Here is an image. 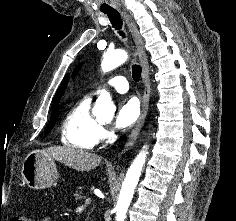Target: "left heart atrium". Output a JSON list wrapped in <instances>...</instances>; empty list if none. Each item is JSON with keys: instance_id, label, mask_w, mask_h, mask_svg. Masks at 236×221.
<instances>
[{"instance_id": "39dd6f15", "label": "left heart atrium", "mask_w": 236, "mask_h": 221, "mask_svg": "<svg viewBox=\"0 0 236 221\" xmlns=\"http://www.w3.org/2000/svg\"><path fill=\"white\" fill-rule=\"evenodd\" d=\"M139 116V102L133 97L122 99L118 104L114 126L117 129H128Z\"/></svg>"}]
</instances>
